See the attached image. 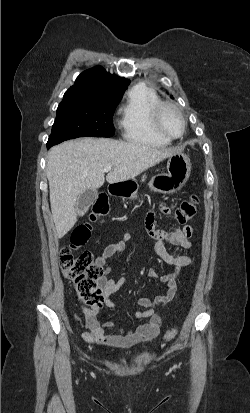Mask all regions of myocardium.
Returning <instances> with one entry per match:
<instances>
[{
  "instance_id": "1",
  "label": "myocardium",
  "mask_w": 250,
  "mask_h": 413,
  "mask_svg": "<svg viewBox=\"0 0 250 413\" xmlns=\"http://www.w3.org/2000/svg\"><path fill=\"white\" fill-rule=\"evenodd\" d=\"M166 109H170L172 111H174L180 118L181 122H182V131L179 135L177 136H173L169 133H167L162 125H161V116L164 110ZM152 126L154 131L161 136L164 139H167L169 141L178 139L180 137L183 136L185 130H186V120L185 117L183 115V113L181 112V110L175 106L174 104L170 103V102H165V101H160L153 109L152 112Z\"/></svg>"
}]
</instances>
